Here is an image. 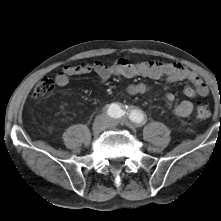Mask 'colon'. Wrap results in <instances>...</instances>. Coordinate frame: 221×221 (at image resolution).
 Segmentation results:
<instances>
[{
	"instance_id": "1",
	"label": "colon",
	"mask_w": 221,
	"mask_h": 221,
	"mask_svg": "<svg viewBox=\"0 0 221 221\" xmlns=\"http://www.w3.org/2000/svg\"><path fill=\"white\" fill-rule=\"evenodd\" d=\"M55 83L49 77L42 78L36 85L33 91V97L35 99H40L54 90ZM196 116L198 119L205 120L210 116V109L207 105L203 103H198L196 105Z\"/></svg>"
}]
</instances>
